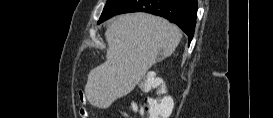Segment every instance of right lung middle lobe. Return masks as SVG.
Segmentation results:
<instances>
[{
  "mask_svg": "<svg viewBox=\"0 0 273 118\" xmlns=\"http://www.w3.org/2000/svg\"><path fill=\"white\" fill-rule=\"evenodd\" d=\"M120 1H121V0H108L107 3H106V5H105V7H104V10H103V12H102V14H101L100 20H102V19H104V18H107V17L110 15L112 9H113ZM100 20H99V21H100ZM98 24H100V23H98Z\"/></svg>",
  "mask_w": 273,
  "mask_h": 118,
  "instance_id": "1",
  "label": "right lung middle lobe"
}]
</instances>
